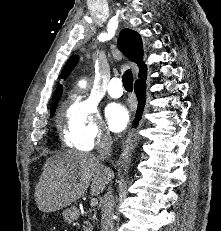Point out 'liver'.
Returning <instances> with one entry per match:
<instances>
[{
	"instance_id": "1",
	"label": "liver",
	"mask_w": 221,
	"mask_h": 231,
	"mask_svg": "<svg viewBox=\"0 0 221 231\" xmlns=\"http://www.w3.org/2000/svg\"><path fill=\"white\" fill-rule=\"evenodd\" d=\"M108 173L99 157L75 151L60 152L46 163L35 189L42 212H55L80 199L90 187L92 195L106 188Z\"/></svg>"
}]
</instances>
